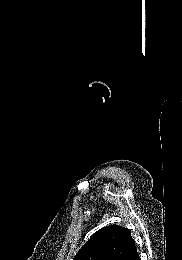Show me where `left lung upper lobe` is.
Returning a JSON list of instances; mask_svg holds the SVG:
<instances>
[{
	"label": "left lung upper lobe",
	"mask_w": 182,
	"mask_h": 260,
	"mask_svg": "<svg viewBox=\"0 0 182 260\" xmlns=\"http://www.w3.org/2000/svg\"><path fill=\"white\" fill-rule=\"evenodd\" d=\"M134 245L127 228L109 225L96 231L73 260H124Z\"/></svg>",
	"instance_id": "1"
}]
</instances>
